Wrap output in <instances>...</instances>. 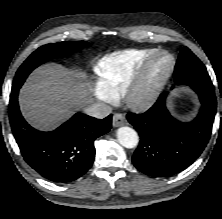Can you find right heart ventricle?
<instances>
[{"label":"right heart ventricle","instance_id":"right-heart-ventricle-1","mask_svg":"<svg viewBox=\"0 0 222 219\" xmlns=\"http://www.w3.org/2000/svg\"><path fill=\"white\" fill-rule=\"evenodd\" d=\"M156 51L153 48L126 49L98 59L92 66L97 93L107 100L117 99L145 60Z\"/></svg>","mask_w":222,"mask_h":219}]
</instances>
